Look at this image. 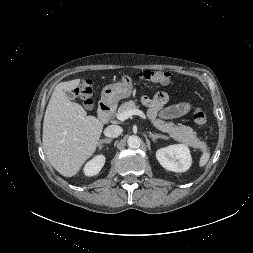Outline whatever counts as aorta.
<instances>
[{"instance_id":"obj_1","label":"aorta","mask_w":253,"mask_h":253,"mask_svg":"<svg viewBox=\"0 0 253 253\" xmlns=\"http://www.w3.org/2000/svg\"><path fill=\"white\" fill-rule=\"evenodd\" d=\"M127 144L130 148H137L141 144V139L138 136H130L127 140Z\"/></svg>"}]
</instances>
